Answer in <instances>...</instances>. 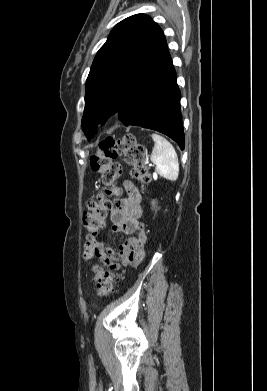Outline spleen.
Wrapping results in <instances>:
<instances>
[{
    "label": "spleen",
    "mask_w": 267,
    "mask_h": 391,
    "mask_svg": "<svg viewBox=\"0 0 267 391\" xmlns=\"http://www.w3.org/2000/svg\"><path fill=\"white\" fill-rule=\"evenodd\" d=\"M154 148L151 161L156 165L158 174L170 181H176L179 175V163L176 151L172 144L164 137L153 133Z\"/></svg>",
    "instance_id": "spleen-1"
}]
</instances>
